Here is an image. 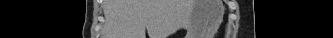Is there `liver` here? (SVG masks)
<instances>
[{
	"label": "liver",
	"instance_id": "6515ba94",
	"mask_svg": "<svg viewBox=\"0 0 333 38\" xmlns=\"http://www.w3.org/2000/svg\"><path fill=\"white\" fill-rule=\"evenodd\" d=\"M162 2L158 0H143L142 11L154 12L159 10Z\"/></svg>",
	"mask_w": 333,
	"mask_h": 38
}]
</instances>
